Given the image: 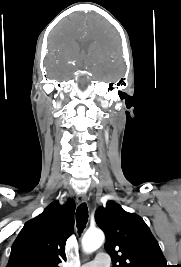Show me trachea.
<instances>
[{"label": "trachea", "instance_id": "trachea-1", "mask_svg": "<svg viewBox=\"0 0 181 267\" xmlns=\"http://www.w3.org/2000/svg\"><path fill=\"white\" fill-rule=\"evenodd\" d=\"M76 221L79 233L83 231L88 222V208L86 203H82L76 210Z\"/></svg>", "mask_w": 181, "mask_h": 267}]
</instances>
